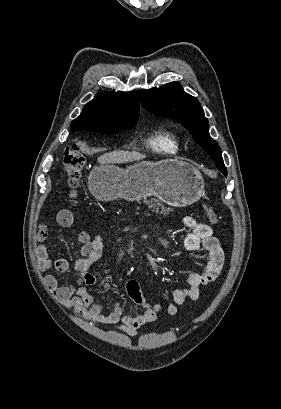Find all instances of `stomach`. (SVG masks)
Returning <instances> with one entry per match:
<instances>
[{
	"instance_id": "0dacf381",
	"label": "stomach",
	"mask_w": 281,
	"mask_h": 409,
	"mask_svg": "<svg viewBox=\"0 0 281 409\" xmlns=\"http://www.w3.org/2000/svg\"><path fill=\"white\" fill-rule=\"evenodd\" d=\"M205 182L196 166L178 160H141L127 168L116 164L94 166L88 176V188L97 200H140L158 196L171 207H188L199 200Z\"/></svg>"
}]
</instances>
